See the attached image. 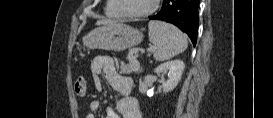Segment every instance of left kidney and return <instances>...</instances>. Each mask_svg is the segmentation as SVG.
I'll return each mask as SVG.
<instances>
[{
  "label": "left kidney",
  "mask_w": 273,
  "mask_h": 118,
  "mask_svg": "<svg viewBox=\"0 0 273 118\" xmlns=\"http://www.w3.org/2000/svg\"><path fill=\"white\" fill-rule=\"evenodd\" d=\"M185 65L181 60H173L165 62L157 66L154 72L159 75L160 73L168 72V79L163 82L162 88L164 93L172 91L180 82Z\"/></svg>",
  "instance_id": "obj_1"
}]
</instances>
